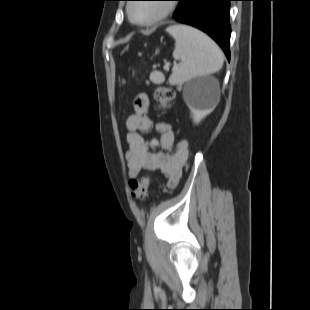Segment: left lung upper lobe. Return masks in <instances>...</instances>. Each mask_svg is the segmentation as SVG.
I'll use <instances>...</instances> for the list:
<instances>
[{"label":"left lung upper lobe","instance_id":"1","mask_svg":"<svg viewBox=\"0 0 310 310\" xmlns=\"http://www.w3.org/2000/svg\"><path fill=\"white\" fill-rule=\"evenodd\" d=\"M176 1H179V4H178V7L174 13V16H176L182 10V8L186 2V0H176Z\"/></svg>","mask_w":310,"mask_h":310}]
</instances>
